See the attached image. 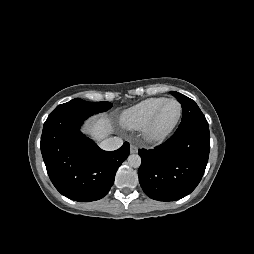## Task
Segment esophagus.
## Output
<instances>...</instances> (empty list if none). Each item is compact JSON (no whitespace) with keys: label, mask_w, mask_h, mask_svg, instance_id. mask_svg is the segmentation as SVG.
<instances>
[{"label":"esophagus","mask_w":254,"mask_h":254,"mask_svg":"<svg viewBox=\"0 0 254 254\" xmlns=\"http://www.w3.org/2000/svg\"><path fill=\"white\" fill-rule=\"evenodd\" d=\"M130 152L131 153H137L138 152V147L134 144L130 145Z\"/></svg>","instance_id":"34e87169"}]
</instances>
